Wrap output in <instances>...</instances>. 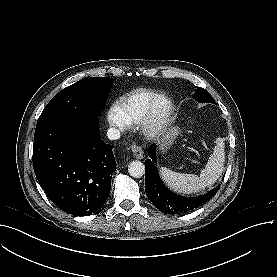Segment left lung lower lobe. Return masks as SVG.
<instances>
[{
    "label": "left lung lower lobe",
    "mask_w": 277,
    "mask_h": 277,
    "mask_svg": "<svg viewBox=\"0 0 277 277\" xmlns=\"http://www.w3.org/2000/svg\"><path fill=\"white\" fill-rule=\"evenodd\" d=\"M156 145L148 148L149 159L145 160V192L149 200L159 210L167 214H179L191 211L210 200L218 187L198 197H184L168 190L159 178L156 168Z\"/></svg>",
    "instance_id": "1"
}]
</instances>
